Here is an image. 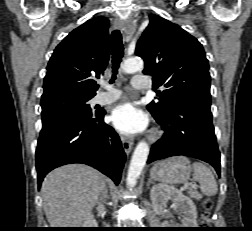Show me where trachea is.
Masks as SVG:
<instances>
[{
  "label": "trachea",
  "mask_w": 252,
  "mask_h": 231,
  "mask_svg": "<svg viewBox=\"0 0 252 231\" xmlns=\"http://www.w3.org/2000/svg\"><path fill=\"white\" fill-rule=\"evenodd\" d=\"M111 43H112V69L113 75L110 80V83H114L118 69L124 54V48L122 43V36L119 30H114L111 34Z\"/></svg>",
  "instance_id": "1"
}]
</instances>
